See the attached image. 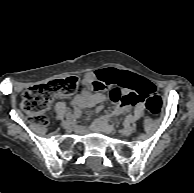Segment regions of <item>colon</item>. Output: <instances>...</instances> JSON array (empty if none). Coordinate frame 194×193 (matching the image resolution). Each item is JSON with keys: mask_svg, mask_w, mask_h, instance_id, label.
Listing matches in <instances>:
<instances>
[{"mask_svg": "<svg viewBox=\"0 0 194 193\" xmlns=\"http://www.w3.org/2000/svg\"><path fill=\"white\" fill-rule=\"evenodd\" d=\"M103 83L104 85L100 89L107 88L109 98L113 102L127 103L135 101L133 94L124 95L123 88H134L137 84V77L131 74H120L118 78H109L104 80ZM77 86L78 79L74 76L34 85L23 93L21 108L32 123L45 126L48 122L47 112L53 98L57 95L72 94ZM139 100L145 101V107L150 114L154 115L160 112L162 107L161 97L154 93L150 87L143 97L139 96Z\"/></svg>", "mask_w": 194, "mask_h": 193, "instance_id": "obj_1", "label": "colon"}]
</instances>
